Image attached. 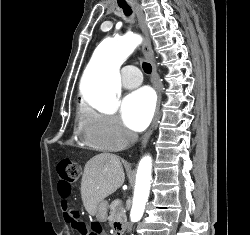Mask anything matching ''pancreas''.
I'll return each mask as SVG.
<instances>
[{"instance_id":"obj_1","label":"pancreas","mask_w":250,"mask_h":235,"mask_svg":"<svg viewBox=\"0 0 250 235\" xmlns=\"http://www.w3.org/2000/svg\"><path fill=\"white\" fill-rule=\"evenodd\" d=\"M109 222H124L126 220V211L120 200H115L110 205Z\"/></svg>"}]
</instances>
